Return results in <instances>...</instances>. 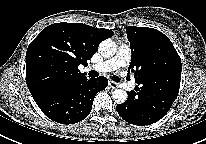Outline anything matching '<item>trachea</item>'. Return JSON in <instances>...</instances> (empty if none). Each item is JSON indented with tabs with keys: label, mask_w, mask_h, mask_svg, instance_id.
Returning a JSON list of instances; mask_svg holds the SVG:
<instances>
[{
	"label": "trachea",
	"mask_w": 206,
	"mask_h": 144,
	"mask_svg": "<svg viewBox=\"0 0 206 144\" xmlns=\"http://www.w3.org/2000/svg\"><path fill=\"white\" fill-rule=\"evenodd\" d=\"M99 75V73L97 72V71H95V70H91L90 72H89V76L90 77H97Z\"/></svg>",
	"instance_id": "trachea-1"
}]
</instances>
